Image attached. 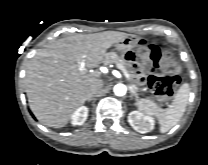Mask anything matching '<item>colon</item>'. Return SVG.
Returning <instances> with one entry per match:
<instances>
[{
	"label": "colon",
	"instance_id": "1",
	"mask_svg": "<svg viewBox=\"0 0 208 165\" xmlns=\"http://www.w3.org/2000/svg\"><path fill=\"white\" fill-rule=\"evenodd\" d=\"M137 52L142 59L144 69L150 74L149 86L152 91L162 101L171 98L180 83L179 63L170 52L162 50L155 44H147L143 40L140 41ZM162 66H166L170 70L161 73Z\"/></svg>",
	"mask_w": 208,
	"mask_h": 165
}]
</instances>
